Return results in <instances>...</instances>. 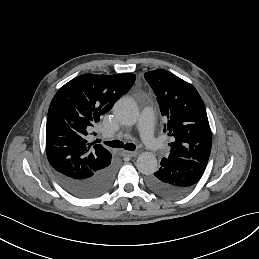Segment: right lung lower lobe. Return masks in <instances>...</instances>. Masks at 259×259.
<instances>
[{"label":"right lung lower lobe","instance_id":"98d812e1","mask_svg":"<svg viewBox=\"0 0 259 259\" xmlns=\"http://www.w3.org/2000/svg\"><path fill=\"white\" fill-rule=\"evenodd\" d=\"M61 186L75 197L89 199L104 194L111 186L115 175L113 164L86 179H75L54 171Z\"/></svg>","mask_w":259,"mask_h":259}]
</instances>
